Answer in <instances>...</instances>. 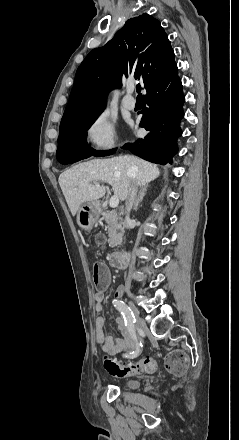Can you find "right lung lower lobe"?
<instances>
[{"label":"right lung lower lobe","instance_id":"obj_1","mask_svg":"<svg viewBox=\"0 0 239 440\" xmlns=\"http://www.w3.org/2000/svg\"><path fill=\"white\" fill-rule=\"evenodd\" d=\"M145 89L147 94L143 96V104L148 105V108L141 111L143 116L140 127L149 133L144 139L126 143L123 148L154 163H172V157L178 150L176 140L182 134L179 123L184 117L182 106L185 102L176 63L167 72L150 81ZM114 152L115 149L95 151L88 144H81L61 149L56 157L60 163L68 164Z\"/></svg>","mask_w":239,"mask_h":440}]
</instances>
